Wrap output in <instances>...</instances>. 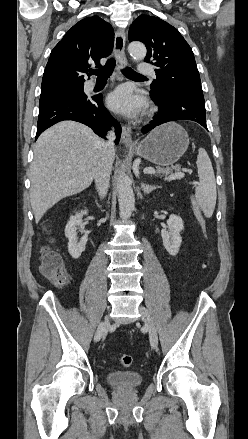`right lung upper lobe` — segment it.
<instances>
[{"mask_svg": "<svg viewBox=\"0 0 248 439\" xmlns=\"http://www.w3.org/2000/svg\"><path fill=\"white\" fill-rule=\"evenodd\" d=\"M113 43V28L100 17L79 21L52 50L43 74L41 96L83 87V73L92 64L100 67V59L112 52Z\"/></svg>", "mask_w": 248, "mask_h": 439, "instance_id": "right-lung-upper-lobe-1", "label": "right lung upper lobe"}]
</instances>
